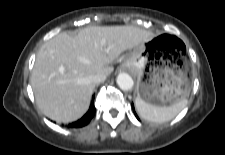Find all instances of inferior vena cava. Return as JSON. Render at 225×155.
Instances as JSON below:
<instances>
[{
	"mask_svg": "<svg viewBox=\"0 0 225 155\" xmlns=\"http://www.w3.org/2000/svg\"><path fill=\"white\" fill-rule=\"evenodd\" d=\"M106 79V75L104 74H96L95 76H93V82L95 84H99L101 82H104Z\"/></svg>",
	"mask_w": 225,
	"mask_h": 155,
	"instance_id": "obj_1",
	"label": "inferior vena cava"
}]
</instances>
